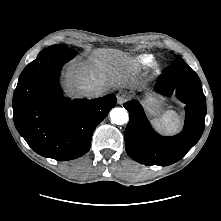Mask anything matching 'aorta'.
Listing matches in <instances>:
<instances>
[{
    "label": "aorta",
    "mask_w": 221,
    "mask_h": 221,
    "mask_svg": "<svg viewBox=\"0 0 221 221\" xmlns=\"http://www.w3.org/2000/svg\"><path fill=\"white\" fill-rule=\"evenodd\" d=\"M110 118L112 123L116 125H123L128 122L129 115L125 108L115 107L110 112Z\"/></svg>",
    "instance_id": "obj_1"
}]
</instances>
